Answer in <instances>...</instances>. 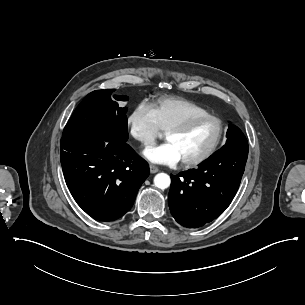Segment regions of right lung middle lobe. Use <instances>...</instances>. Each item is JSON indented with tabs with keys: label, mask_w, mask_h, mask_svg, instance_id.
<instances>
[{
	"label": "right lung middle lobe",
	"mask_w": 305,
	"mask_h": 305,
	"mask_svg": "<svg viewBox=\"0 0 305 305\" xmlns=\"http://www.w3.org/2000/svg\"><path fill=\"white\" fill-rule=\"evenodd\" d=\"M114 91L96 90L88 94L65 126L62 138L89 135L126 142L127 108H119L116 101H127L128 97L113 95Z\"/></svg>",
	"instance_id": "1"
}]
</instances>
